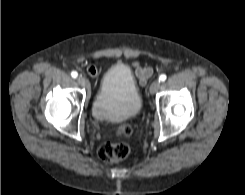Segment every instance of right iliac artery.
Segmentation results:
<instances>
[{"label":"right iliac artery","mask_w":245,"mask_h":195,"mask_svg":"<svg viewBox=\"0 0 245 195\" xmlns=\"http://www.w3.org/2000/svg\"><path fill=\"white\" fill-rule=\"evenodd\" d=\"M71 76H72L73 78H77V77H78V73H77L76 71H73V72L71 73Z\"/></svg>","instance_id":"obj_1"}]
</instances>
